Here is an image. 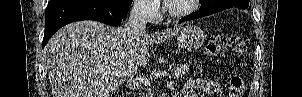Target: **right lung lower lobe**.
Segmentation results:
<instances>
[{"instance_id": "1", "label": "right lung lower lobe", "mask_w": 302, "mask_h": 97, "mask_svg": "<svg viewBox=\"0 0 302 97\" xmlns=\"http://www.w3.org/2000/svg\"><path fill=\"white\" fill-rule=\"evenodd\" d=\"M129 5L116 0H51L47 6L42 48L62 26L80 20H96L116 26Z\"/></svg>"}]
</instances>
